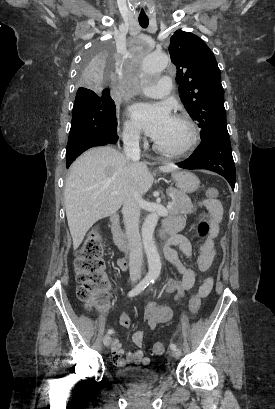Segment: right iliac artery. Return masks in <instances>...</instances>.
Masks as SVG:
<instances>
[{
  "label": "right iliac artery",
  "mask_w": 275,
  "mask_h": 409,
  "mask_svg": "<svg viewBox=\"0 0 275 409\" xmlns=\"http://www.w3.org/2000/svg\"><path fill=\"white\" fill-rule=\"evenodd\" d=\"M152 279L150 277H145L135 288H133L129 293L128 297H133L141 293L150 283ZM109 334L113 333V330H108Z\"/></svg>",
  "instance_id": "1"
}]
</instances>
